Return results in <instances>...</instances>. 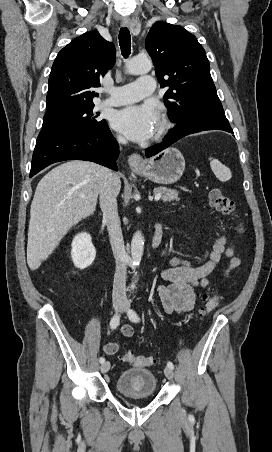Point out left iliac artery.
Masks as SVG:
<instances>
[{
  "mask_svg": "<svg viewBox=\"0 0 272 452\" xmlns=\"http://www.w3.org/2000/svg\"><path fill=\"white\" fill-rule=\"evenodd\" d=\"M128 316H129V319L133 322H139V320H140L138 314L132 309L128 311ZM167 366L171 369H174V364L171 361H169L167 363Z\"/></svg>",
  "mask_w": 272,
  "mask_h": 452,
  "instance_id": "44dca946",
  "label": "left iliac artery"
}]
</instances>
